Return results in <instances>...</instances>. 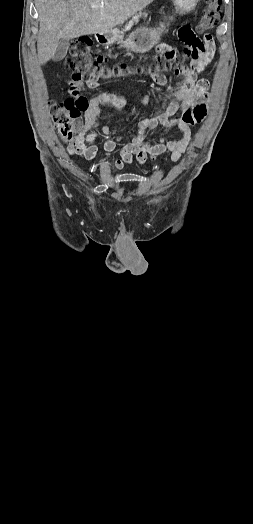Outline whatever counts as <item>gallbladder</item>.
<instances>
[{
  "instance_id": "gallbladder-1",
  "label": "gallbladder",
  "mask_w": 253,
  "mask_h": 524,
  "mask_svg": "<svg viewBox=\"0 0 253 524\" xmlns=\"http://www.w3.org/2000/svg\"><path fill=\"white\" fill-rule=\"evenodd\" d=\"M68 47H69V40L68 39L62 40L56 49V52L53 56V61L58 62L64 59V57L67 54Z\"/></svg>"
}]
</instances>
